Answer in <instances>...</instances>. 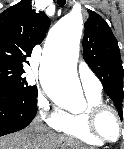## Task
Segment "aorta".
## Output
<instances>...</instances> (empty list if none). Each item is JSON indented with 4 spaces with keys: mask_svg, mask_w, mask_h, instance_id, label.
Returning a JSON list of instances; mask_svg holds the SVG:
<instances>
[{
    "mask_svg": "<svg viewBox=\"0 0 124 149\" xmlns=\"http://www.w3.org/2000/svg\"><path fill=\"white\" fill-rule=\"evenodd\" d=\"M83 18L71 12L51 29L40 67V83L54 101L69 107H84V98L77 74Z\"/></svg>",
    "mask_w": 124,
    "mask_h": 149,
    "instance_id": "obj_1",
    "label": "aorta"
}]
</instances>
